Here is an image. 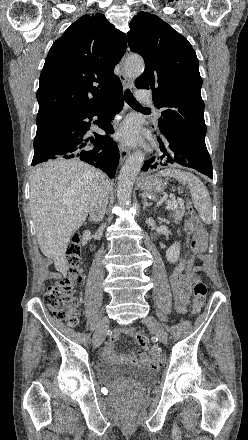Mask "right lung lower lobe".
Returning <instances> with one entry per match:
<instances>
[{"label":"right lung lower lobe","instance_id":"right-lung-lower-lobe-1","mask_svg":"<svg viewBox=\"0 0 248 440\" xmlns=\"http://www.w3.org/2000/svg\"><path fill=\"white\" fill-rule=\"evenodd\" d=\"M122 85L105 100L94 104L79 106L49 121L37 125L34 140V157L32 166L49 159L74 158L100 168L110 178L116 173L119 162V151L116 142L108 135L94 133L88 137V130L94 121L107 134L114 133L109 124L116 113L123 107Z\"/></svg>","mask_w":248,"mask_h":440}]
</instances>
